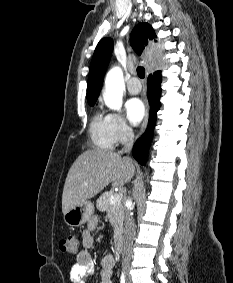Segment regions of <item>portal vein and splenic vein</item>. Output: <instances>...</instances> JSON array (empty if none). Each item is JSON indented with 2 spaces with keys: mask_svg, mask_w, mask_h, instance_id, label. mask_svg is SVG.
Returning <instances> with one entry per match:
<instances>
[{
  "mask_svg": "<svg viewBox=\"0 0 233 283\" xmlns=\"http://www.w3.org/2000/svg\"><path fill=\"white\" fill-rule=\"evenodd\" d=\"M122 199V193H117L113 196L110 197V202H117L120 201Z\"/></svg>",
  "mask_w": 233,
  "mask_h": 283,
  "instance_id": "18ae733b",
  "label": "portal vein and splenic vein"
}]
</instances>
